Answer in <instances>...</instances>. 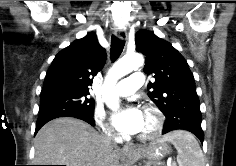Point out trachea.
I'll return each mask as SVG.
<instances>
[{
    "instance_id": "1",
    "label": "trachea",
    "mask_w": 236,
    "mask_h": 166,
    "mask_svg": "<svg viewBox=\"0 0 236 166\" xmlns=\"http://www.w3.org/2000/svg\"><path fill=\"white\" fill-rule=\"evenodd\" d=\"M124 44V41L118 39L116 36L111 37L110 55L112 61H115L121 55Z\"/></svg>"
}]
</instances>
